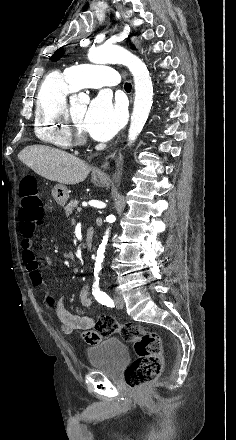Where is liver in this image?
Masks as SVG:
<instances>
[{
	"mask_svg": "<svg viewBox=\"0 0 236 440\" xmlns=\"http://www.w3.org/2000/svg\"><path fill=\"white\" fill-rule=\"evenodd\" d=\"M18 158L38 175L66 185L83 182L91 171V167L74 155L44 145L25 147Z\"/></svg>",
	"mask_w": 236,
	"mask_h": 440,
	"instance_id": "liver-1",
	"label": "liver"
}]
</instances>
